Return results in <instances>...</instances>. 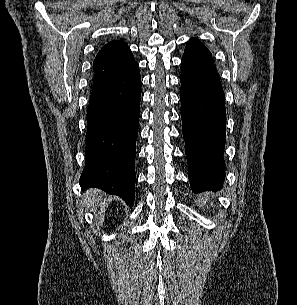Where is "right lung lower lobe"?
<instances>
[{"label":"right lung lower lobe","mask_w":297,"mask_h":305,"mask_svg":"<svg viewBox=\"0 0 297 305\" xmlns=\"http://www.w3.org/2000/svg\"><path fill=\"white\" fill-rule=\"evenodd\" d=\"M141 77L135 62L121 74L93 85L87 111L83 188H101L132 207L140 114Z\"/></svg>","instance_id":"right-lung-lower-lobe-1"}]
</instances>
